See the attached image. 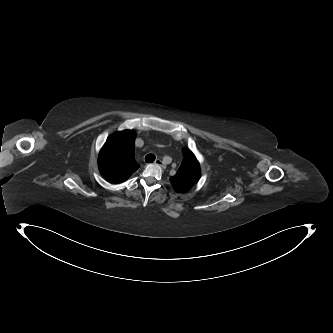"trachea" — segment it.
I'll list each match as a JSON object with an SVG mask.
<instances>
[{"label": "trachea", "mask_w": 333, "mask_h": 333, "mask_svg": "<svg viewBox=\"0 0 333 333\" xmlns=\"http://www.w3.org/2000/svg\"><path fill=\"white\" fill-rule=\"evenodd\" d=\"M154 160H155V155H154V154H147V155L145 156V161H146L147 163L154 162Z\"/></svg>", "instance_id": "3493384b"}]
</instances>
